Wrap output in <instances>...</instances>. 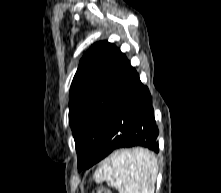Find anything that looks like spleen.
I'll use <instances>...</instances> for the list:
<instances>
[{"label": "spleen", "instance_id": "3e777b00", "mask_svg": "<svg viewBox=\"0 0 221 193\" xmlns=\"http://www.w3.org/2000/svg\"><path fill=\"white\" fill-rule=\"evenodd\" d=\"M158 173L154 154L143 148L130 146L113 152L94 174L97 184L106 182L119 193H154Z\"/></svg>", "mask_w": 221, "mask_h": 193}]
</instances>
